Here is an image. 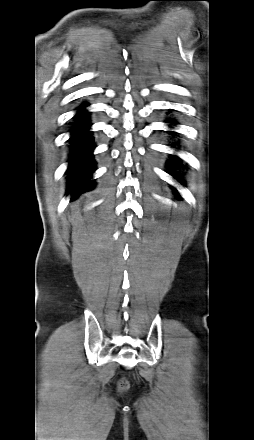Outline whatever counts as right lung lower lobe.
I'll list each match as a JSON object with an SVG mask.
<instances>
[{
  "mask_svg": "<svg viewBox=\"0 0 254 440\" xmlns=\"http://www.w3.org/2000/svg\"><path fill=\"white\" fill-rule=\"evenodd\" d=\"M86 104L78 108L74 116V123L70 130L69 138V165H68V193L72 198L78 197L81 193L92 189L94 181L91 180L95 171V160L93 150L95 145L89 128L91 123L88 120V112L84 110Z\"/></svg>",
  "mask_w": 254,
  "mask_h": 440,
  "instance_id": "98d812e1",
  "label": "right lung lower lobe"
}]
</instances>
